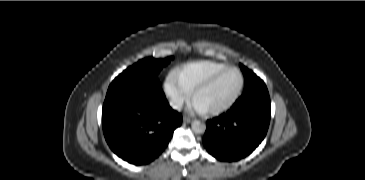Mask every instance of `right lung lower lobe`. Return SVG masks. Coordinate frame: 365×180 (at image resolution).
Masks as SVG:
<instances>
[{
	"label": "right lung lower lobe",
	"mask_w": 365,
	"mask_h": 180,
	"mask_svg": "<svg viewBox=\"0 0 365 180\" xmlns=\"http://www.w3.org/2000/svg\"><path fill=\"white\" fill-rule=\"evenodd\" d=\"M181 123V114L169 106L161 84H129L106 94L105 139L116 155L131 164H147L158 157Z\"/></svg>",
	"instance_id": "obj_1"
}]
</instances>
